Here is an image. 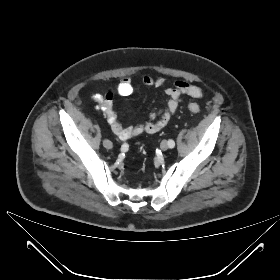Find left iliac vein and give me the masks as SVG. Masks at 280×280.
Instances as JSON below:
<instances>
[{
  "instance_id": "1",
  "label": "left iliac vein",
  "mask_w": 280,
  "mask_h": 280,
  "mask_svg": "<svg viewBox=\"0 0 280 280\" xmlns=\"http://www.w3.org/2000/svg\"><path fill=\"white\" fill-rule=\"evenodd\" d=\"M160 148L163 150V151H166L169 149V146H168V142L166 140H163L160 144Z\"/></svg>"
}]
</instances>
